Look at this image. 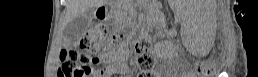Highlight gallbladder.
Wrapping results in <instances>:
<instances>
[{
	"label": "gallbladder",
	"instance_id": "1",
	"mask_svg": "<svg viewBox=\"0 0 258 77\" xmlns=\"http://www.w3.org/2000/svg\"><path fill=\"white\" fill-rule=\"evenodd\" d=\"M93 19V12L89 10L71 20L64 28V37L69 42L78 41L86 32Z\"/></svg>",
	"mask_w": 258,
	"mask_h": 77
}]
</instances>
